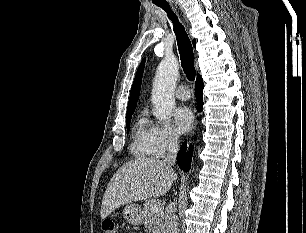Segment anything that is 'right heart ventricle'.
Here are the masks:
<instances>
[{
  "label": "right heart ventricle",
  "mask_w": 306,
  "mask_h": 233,
  "mask_svg": "<svg viewBox=\"0 0 306 233\" xmlns=\"http://www.w3.org/2000/svg\"><path fill=\"white\" fill-rule=\"evenodd\" d=\"M152 127L145 114H141L133 127L131 153L137 158L153 155Z\"/></svg>",
  "instance_id": "obj_1"
}]
</instances>
